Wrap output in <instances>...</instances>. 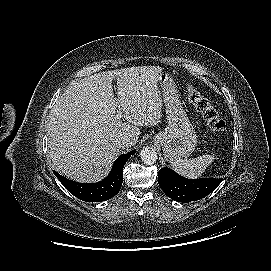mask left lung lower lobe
<instances>
[{"mask_svg": "<svg viewBox=\"0 0 271 271\" xmlns=\"http://www.w3.org/2000/svg\"><path fill=\"white\" fill-rule=\"evenodd\" d=\"M221 182L222 179L217 178L187 179L170 168H161L158 172V183L164 193L183 203L204 198Z\"/></svg>", "mask_w": 271, "mask_h": 271, "instance_id": "1", "label": "left lung lower lobe"}]
</instances>
